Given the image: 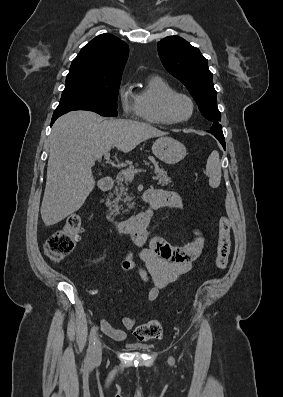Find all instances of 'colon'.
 <instances>
[{
	"label": "colon",
	"mask_w": 283,
	"mask_h": 397,
	"mask_svg": "<svg viewBox=\"0 0 283 397\" xmlns=\"http://www.w3.org/2000/svg\"><path fill=\"white\" fill-rule=\"evenodd\" d=\"M82 232V218L80 214L69 215L63 227L54 232L45 243L47 257L59 262L68 256L74 249ZM231 252V222L226 216H221L218 223V243L216 267L224 270L229 261ZM135 337L139 341L160 340L164 330L158 320H151L136 327Z\"/></svg>",
	"instance_id": "1"
}]
</instances>
